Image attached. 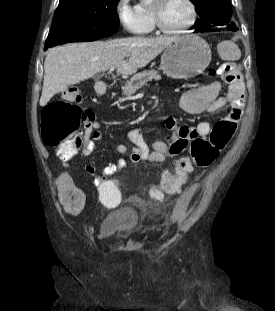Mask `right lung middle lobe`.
<instances>
[{"mask_svg": "<svg viewBox=\"0 0 275 311\" xmlns=\"http://www.w3.org/2000/svg\"><path fill=\"white\" fill-rule=\"evenodd\" d=\"M119 0H60L44 50L70 42L94 41L118 30Z\"/></svg>", "mask_w": 275, "mask_h": 311, "instance_id": "obj_1", "label": "right lung middle lobe"}]
</instances>
